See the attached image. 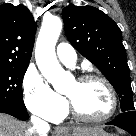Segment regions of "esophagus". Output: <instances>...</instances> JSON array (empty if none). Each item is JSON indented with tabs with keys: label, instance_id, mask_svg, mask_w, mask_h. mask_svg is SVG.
I'll list each match as a JSON object with an SVG mask.
<instances>
[{
	"label": "esophagus",
	"instance_id": "esophagus-1",
	"mask_svg": "<svg viewBox=\"0 0 136 136\" xmlns=\"http://www.w3.org/2000/svg\"><path fill=\"white\" fill-rule=\"evenodd\" d=\"M55 131H56L57 133H60V132H63L64 129H63L62 127H56V128H55Z\"/></svg>",
	"mask_w": 136,
	"mask_h": 136
}]
</instances>
